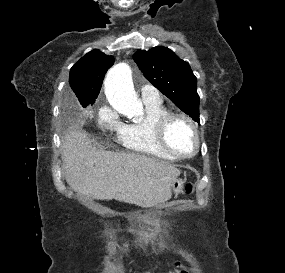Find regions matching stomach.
<instances>
[{
  "instance_id": "stomach-1",
  "label": "stomach",
  "mask_w": 285,
  "mask_h": 273,
  "mask_svg": "<svg viewBox=\"0 0 285 273\" xmlns=\"http://www.w3.org/2000/svg\"><path fill=\"white\" fill-rule=\"evenodd\" d=\"M184 181L182 179H176L172 182L171 190L175 195H178L182 192Z\"/></svg>"
}]
</instances>
